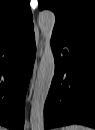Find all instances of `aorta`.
Wrapping results in <instances>:
<instances>
[{
    "mask_svg": "<svg viewBox=\"0 0 95 130\" xmlns=\"http://www.w3.org/2000/svg\"><path fill=\"white\" fill-rule=\"evenodd\" d=\"M38 23L44 38V51L39 63L31 101V130H44V105L55 72V61L51 48V38L55 25L54 13L50 10L41 11L38 16Z\"/></svg>",
    "mask_w": 95,
    "mask_h": 130,
    "instance_id": "1",
    "label": "aorta"
}]
</instances>
